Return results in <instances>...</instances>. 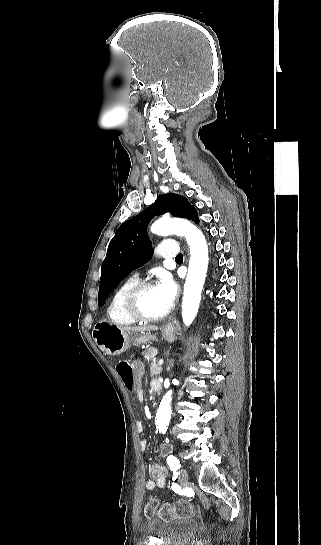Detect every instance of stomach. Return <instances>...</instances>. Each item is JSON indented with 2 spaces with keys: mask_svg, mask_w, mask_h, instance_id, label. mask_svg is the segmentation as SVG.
Wrapping results in <instances>:
<instances>
[{
  "mask_svg": "<svg viewBox=\"0 0 321 545\" xmlns=\"http://www.w3.org/2000/svg\"><path fill=\"white\" fill-rule=\"evenodd\" d=\"M178 329V323H168V325L162 327L161 333L164 339L172 343L176 339ZM93 339L99 349L104 351L106 355H120V353H124V351L130 349L132 345L138 347V345H146L150 341H157L156 335H152L150 331L141 333V335H137V333H123L116 325H111L107 321H98L94 325Z\"/></svg>",
  "mask_w": 321,
  "mask_h": 545,
  "instance_id": "0dacf381",
  "label": "stomach"
}]
</instances>
